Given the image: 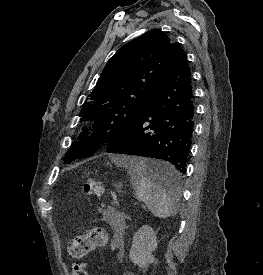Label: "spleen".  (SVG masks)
Segmentation results:
<instances>
[{
	"mask_svg": "<svg viewBox=\"0 0 263 275\" xmlns=\"http://www.w3.org/2000/svg\"><path fill=\"white\" fill-rule=\"evenodd\" d=\"M120 164L128 169L136 198L143 201L154 216L168 218L176 214L180 185L177 184L172 190V195L155 183L147 174V169H169L171 168L170 164L140 157L126 158Z\"/></svg>",
	"mask_w": 263,
	"mask_h": 275,
	"instance_id": "obj_1",
	"label": "spleen"
}]
</instances>
